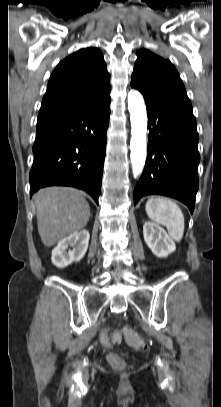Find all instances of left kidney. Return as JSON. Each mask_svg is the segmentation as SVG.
I'll return each mask as SVG.
<instances>
[{"label":"left kidney","mask_w":221,"mask_h":407,"mask_svg":"<svg viewBox=\"0 0 221 407\" xmlns=\"http://www.w3.org/2000/svg\"><path fill=\"white\" fill-rule=\"evenodd\" d=\"M143 235L146 244L157 257H167L176 250L173 239L156 223L145 222Z\"/></svg>","instance_id":"obj_1"}]
</instances>
